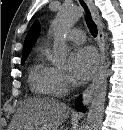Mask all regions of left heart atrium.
<instances>
[{"instance_id": "39dd6f15", "label": "left heart atrium", "mask_w": 123, "mask_h": 130, "mask_svg": "<svg viewBox=\"0 0 123 130\" xmlns=\"http://www.w3.org/2000/svg\"><path fill=\"white\" fill-rule=\"evenodd\" d=\"M98 58L94 49L81 47L73 51L69 65L72 78L78 83L86 82L97 68Z\"/></svg>"}]
</instances>
